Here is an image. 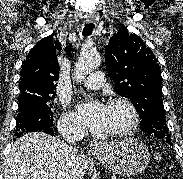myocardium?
<instances>
[{"label":"myocardium","mask_w":183,"mask_h":179,"mask_svg":"<svg viewBox=\"0 0 183 179\" xmlns=\"http://www.w3.org/2000/svg\"><path fill=\"white\" fill-rule=\"evenodd\" d=\"M108 105L109 106L111 105L125 106L130 112L131 119H130V122L123 128L106 132V135L112 136V137H119V136L130 134L137 129L140 123V114L137 107L131 100L124 97L112 98L109 100Z\"/></svg>","instance_id":"f54148a6"}]
</instances>
